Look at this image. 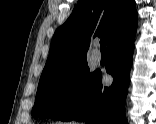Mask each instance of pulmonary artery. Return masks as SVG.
Returning a JSON list of instances; mask_svg holds the SVG:
<instances>
[{
	"label": "pulmonary artery",
	"mask_w": 156,
	"mask_h": 124,
	"mask_svg": "<svg viewBox=\"0 0 156 124\" xmlns=\"http://www.w3.org/2000/svg\"><path fill=\"white\" fill-rule=\"evenodd\" d=\"M92 57H93L94 61H96V62H100L102 59V55L98 49H95L93 51Z\"/></svg>",
	"instance_id": "1"
}]
</instances>
